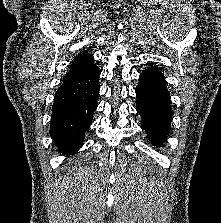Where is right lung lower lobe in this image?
Segmentation results:
<instances>
[{
    "label": "right lung lower lobe",
    "instance_id": "obj_1",
    "mask_svg": "<svg viewBox=\"0 0 221 223\" xmlns=\"http://www.w3.org/2000/svg\"><path fill=\"white\" fill-rule=\"evenodd\" d=\"M99 68L63 82L55 94L50 135L59 152L72 153L81 147L91 125L99 94Z\"/></svg>",
    "mask_w": 221,
    "mask_h": 223
}]
</instances>
